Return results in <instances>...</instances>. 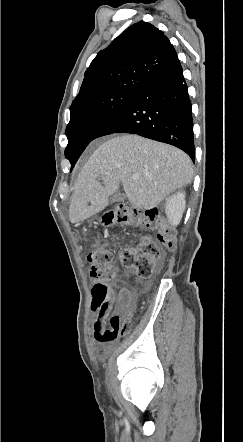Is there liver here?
I'll return each instance as SVG.
<instances>
[{"label": "liver", "mask_w": 243, "mask_h": 442, "mask_svg": "<svg viewBox=\"0 0 243 442\" xmlns=\"http://www.w3.org/2000/svg\"><path fill=\"white\" fill-rule=\"evenodd\" d=\"M193 173L191 159L176 147L138 135L115 136L94 151L79 173L69 219L79 223L104 210L120 183L134 207L151 209L189 184ZM133 174L139 178L132 179Z\"/></svg>", "instance_id": "obj_1"}]
</instances>
